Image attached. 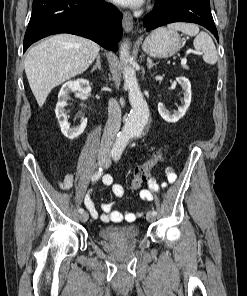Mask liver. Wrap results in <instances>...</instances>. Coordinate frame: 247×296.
<instances>
[{"label":"liver","mask_w":247,"mask_h":296,"mask_svg":"<svg viewBox=\"0 0 247 296\" xmlns=\"http://www.w3.org/2000/svg\"><path fill=\"white\" fill-rule=\"evenodd\" d=\"M99 51L94 41L71 34L54 35L32 47L24 67L39 107L54 87L86 71Z\"/></svg>","instance_id":"liver-1"}]
</instances>
